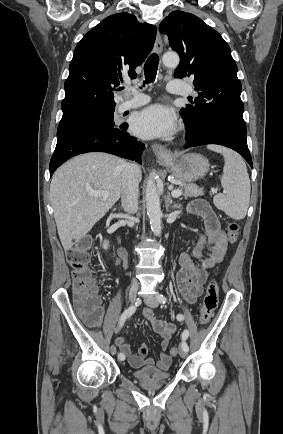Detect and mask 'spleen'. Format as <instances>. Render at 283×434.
Segmentation results:
<instances>
[{
    "label": "spleen",
    "instance_id": "obj_1",
    "mask_svg": "<svg viewBox=\"0 0 283 434\" xmlns=\"http://www.w3.org/2000/svg\"><path fill=\"white\" fill-rule=\"evenodd\" d=\"M208 149L222 154L225 160L221 179L224 191L214 197V205L229 217L241 220L246 216L251 190L246 164L232 150L217 145H210Z\"/></svg>",
    "mask_w": 283,
    "mask_h": 434
}]
</instances>
